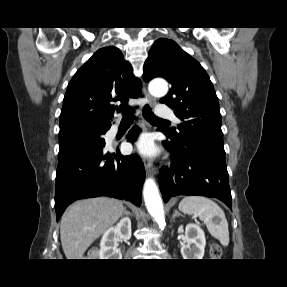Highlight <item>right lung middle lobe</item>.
<instances>
[{
  "mask_svg": "<svg viewBox=\"0 0 287 287\" xmlns=\"http://www.w3.org/2000/svg\"><path fill=\"white\" fill-rule=\"evenodd\" d=\"M107 127L87 122H76L61 126L59 131V146L76 141H103L102 135L105 133Z\"/></svg>",
  "mask_w": 287,
  "mask_h": 287,
  "instance_id": "1",
  "label": "right lung middle lobe"
}]
</instances>
